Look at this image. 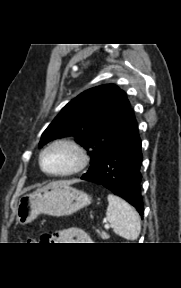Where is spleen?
<instances>
[{
    "instance_id": "obj_1",
    "label": "spleen",
    "mask_w": 181,
    "mask_h": 288,
    "mask_svg": "<svg viewBox=\"0 0 181 288\" xmlns=\"http://www.w3.org/2000/svg\"><path fill=\"white\" fill-rule=\"evenodd\" d=\"M106 217L113 231L127 240H136L141 231L140 218L136 210L121 198L109 194Z\"/></svg>"
}]
</instances>
